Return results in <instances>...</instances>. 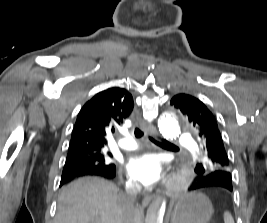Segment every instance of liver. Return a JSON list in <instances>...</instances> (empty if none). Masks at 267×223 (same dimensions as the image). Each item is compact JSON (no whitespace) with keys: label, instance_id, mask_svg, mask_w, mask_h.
<instances>
[{"label":"liver","instance_id":"6515ba94","mask_svg":"<svg viewBox=\"0 0 267 223\" xmlns=\"http://www.w3.org/2000/svg\"><path fill=\"white\" fill-rule=\"evenodd\" d=\"M124 196L111 182L85 177L62 188L54 223H123ZM143 211L134 210V223Z\"/></svg>","mask_w":267,"mask_h":223}]
</instances>
